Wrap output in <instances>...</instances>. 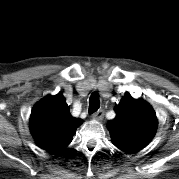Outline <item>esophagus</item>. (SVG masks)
I'll return each mask as SVG.
<instances>
[{"instance_id":"34e87169","label":"esophagus","mask_w":179,"mask_h":179,"mask_svg":"<svg viewBox=\"0 0 179 179\" xmlns=\"http://www.w3.org/2000/svg\"><path fill=\"white\" fill-rule=\"evenodd\" d=\"M103 115H104V111L101 109V110L93 113L92 118L95 119V120H102Z\"/></svg>"}]
</instances>
